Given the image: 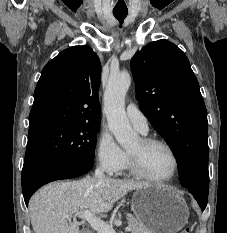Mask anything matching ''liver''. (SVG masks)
Wrapping results in <instances>:
<instances>
[{
	"instance_id": "1",
	"label": "liver",
	"mask_w": 227,
	"mask_h": 233,
	"mask_svg": "<svg viewBox=\"0 0 227 233\" xmlns=\"http://www.w3.org/2000/svg\"><path fill=\"white\" fill-rule=\"evenodd\" d=\"M149 185L112 178H84L48 184L29 203L33 230L35 233H80L78 225L65 215L84 210L94 215L107 213L128 192Z\"/></svg>"
}]
</instances>
